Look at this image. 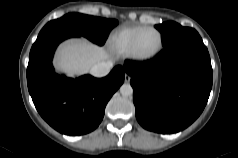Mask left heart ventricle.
Returning <instances> with one entry per match:
<instances>
[{
    "instance_id": "b2bd125f",
    "label": "left heart ventricle",
    "mask_w": 238,
    "mask_h": 158,
    "mask_svg": "<svg viewBox=\"0 0 238 158\" xmlns=\"http://www.w3.org/2000/svg\"><path fill=\"white\" fill-rule=\"evenodd\" d=\"M158 43V34L153 30H148L141 35L138 41L137 50L140 54L147 55L157 48Z\"/></svg>"
}]
</instances>
